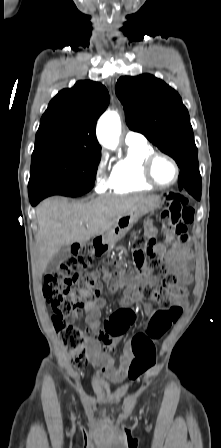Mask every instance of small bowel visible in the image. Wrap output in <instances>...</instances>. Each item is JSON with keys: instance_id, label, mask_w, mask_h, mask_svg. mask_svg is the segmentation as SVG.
Returning <instances> with one entry per match:
<instances>
[{"instance_id": "1", "label": "small bowel", "mask_w": 221, "mask_h": 448, "mask_svg": "<svg viewBox=\"0 0 221 448\" xmlns=\"http://www.w3.org/2000/svg\"><path fill=\"white\" fill-rule=\"evenodd\" d=\"M146 231L150 235L155 234L156 229L151 222L146 224ZM169 241H173V238L167 237L166 242ZM155 250L168 261L169 269L179 275L183 292L175 296L174 302L179 305H185L186 286L191 282V253L188 237L184 240L174 239L172 248L168 252L166 251L165 242L157 243ZM136 263L142 277L128 278L119 272L106 273L104 275L108 284L110 297L118 289H122L121 309L115 311L106 321V331L101 329V309L106 304L107 299L100 297L99 293L95 300L88 301L84 305L85 322L91 334L85 348L86 358L97 366L100 372L104 373L114 382L122 381L128 373L129 366L135 357L133 351L134 339L140 337L143 340H150V337L146 333H138L132 342L125 345L118 359H115L107 353V351L113 350L116 347L123 334L135 319L130 314V306L137 300L136 286L141 284L154 286L158 283V278L155 275L145 269L142 264ZM157 312L158 310L151 304L145 306V313L148 316L153 317ZM75 317H80V314L77 313Z\"/></svg>"}]
</instances>
